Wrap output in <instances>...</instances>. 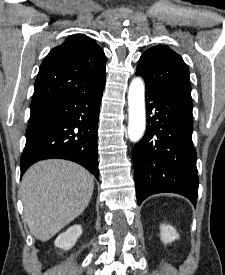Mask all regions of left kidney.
Returning <instances> with one entry per match:
<instances>
[{
    "instance_id": "1",
    "label": "left kidney",
    "mask_w": 225,
    "mask_h": 275,
    "mask_svg": "<svg viewBox=\"0 0 225 275\" xmlns=\"http://www.w3.org/2000/svg\"><path fill=\"white\" fill-rule=\"evenodd\" d=\"M160 235L164 244L171 243L174 240L179 239V234L176 230L172 226L166 224H161Z\"/></svg>"
}]
</instances>
